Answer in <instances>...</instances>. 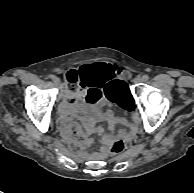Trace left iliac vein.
Instances as JSON below:
<instances>
[{"label": "left iliac vein", "mask_w": 194, "mask_h": 193, "mask_svg": "<svg viewBox=\"0 0 194 193\" xmlns=\"http://www.w3.org/2000/svg\"><path fill=\"white\" fill-rule=\"evenodd\" d=\"M135 82H136V83L143 82V78H141V77H138V78H136V79H135Z\"/></svg>", "instance_id": "obj_1"}]
</instances>
